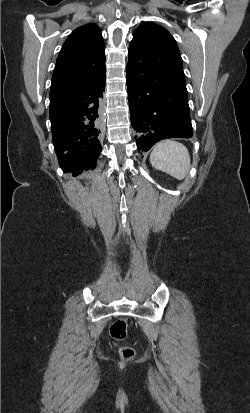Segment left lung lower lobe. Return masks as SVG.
<instances>
[{
  "label": "left lung lower lobe",
  "mask_w": 250,
  "mask_h": 413,
  "mask_svg": "<svg viewBox=\"0 0 250 413\" xmlns=\"http://www.w3.org/2000/svg\"><path fill=\"white\" fill-rule=\"evenodd\" d=\"M172 61L149 39L129 46L127 89L139 152L162 139L192 137L184 72Z\"/></svg>",
  "instance_id": "0a47b994"
}]
</instances>
